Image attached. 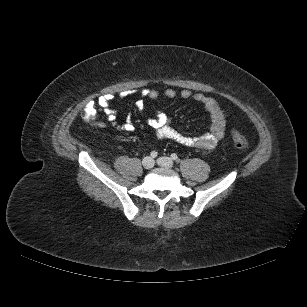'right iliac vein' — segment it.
Returning a JSON list of instances; mask_svg holds the SVG:
<instances>
[{
	"label": "right iliac vein",
	"mask_w": 307,
	"mask_h": 307,
	"mask_svg": "<svg viewBox=\"0 0 307 307\" xmlns=\"http://www.w3.org/2000/svg\"><path fill=\"white\" fill-rule=\"evenodd\" d=\"M142 165L145 169H151L154 166V161L151 157L147 156L142 160Z\"/></svg>",
	"instance_id": "right-iliac-vein-1"
}]
</instances>
